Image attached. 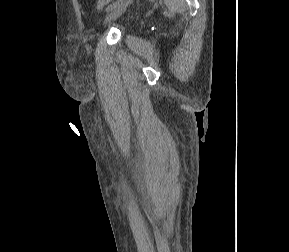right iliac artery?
I'll list each match as a JSON object with an SVG mask.
<instances>
[{
    "instance_id": "obj_1",
    "label": "right iliac artery",
    "mask_w": 289,
    "mask_h": 252,
    "mask_svg": "<svg viewBox=\"0 0 289 252\" xmlns=\"http://www.w3.org/2000/svg\"><path fill=\"white\" fill-rule=\"evenodd\" d=\"M122 2V0H117L116 2L112 3L111 5H109L106 9L107 12L114 10L116 7H118L120 5V3Z\"/></svg>"
}]
</instances>
